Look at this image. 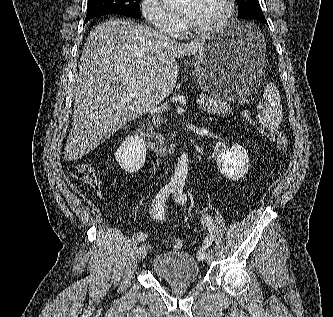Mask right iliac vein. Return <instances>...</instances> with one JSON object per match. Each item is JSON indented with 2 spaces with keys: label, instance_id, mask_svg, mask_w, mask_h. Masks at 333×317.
<instances>
[{
  "label": "right iliac vein",
  "instance_id": "obj_1",
  "mask_svg": "<svg viewBox=\"0 0 333 317\" xmlns=\"http://www.w3.org/2000/svg\"><path fill=\"white\" fill-rule=\"evenodd\" d=\"M147 252H148V248H147L146 244H144V243L141 244L139 246L138 252H137L138 253V259L143 260L146 257Z\"/></svg>",
  "mask_w": 333,
  "mask_h": 317
}]
</instances>
